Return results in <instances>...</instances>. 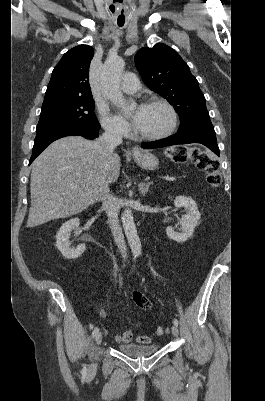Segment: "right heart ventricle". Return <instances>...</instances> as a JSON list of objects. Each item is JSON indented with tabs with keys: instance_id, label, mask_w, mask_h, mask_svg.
Instances as JSON below:
<instances>
[{
	"instance_id": "obj_1",
	"label": "right heart ventricle",
	"mask_w": 265,
	"mask_h": 401,
	"mask_svg": "<svg viewBox=\"0 0 265 401\" xmlns=\"http://www.w3.org/2000/svg\"><path fill=\"white\" fill-rule=\"evenodd\" d=\"M117 139H121L122 137H116Z\"/></svg>"
}]
</instances>
